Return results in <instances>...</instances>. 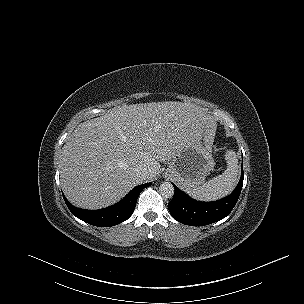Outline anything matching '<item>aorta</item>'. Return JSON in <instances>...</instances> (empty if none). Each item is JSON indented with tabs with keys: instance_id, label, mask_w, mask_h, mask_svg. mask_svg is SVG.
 Listing matches in <instances>:
<instances>
[{
	"instance_id": "762f6f07",
	"label": "aorta",
	"mask_w": 304,
	"mask_h": 304,
	"mask_svg": "<svg viewBox=\"0 0 304 304\" xmlns=\"http://www.w3.org/2000/svg\"><path fill=\"white\" fill-rule=\"evenodd\" d=\"M174 187L170 182H163L159 187V193L164 198H172L174 196Z\"/></svg>"
}]
</instances>
